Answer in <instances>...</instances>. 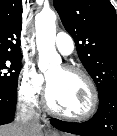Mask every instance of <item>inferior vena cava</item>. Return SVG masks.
<instances>
[{"label":"inferior vena cava","mask_w":117,"mask_h":136,"mask_svg":"<svg viewBox=\"0 0 117 136\" xmlns=\"http://www.w3.org/2000/svg\"><path fill=\"white\" fill-rule=\"evenodd\" d=\"M17 122L23 126L25 136H32L34 131L40 129L39 113L26 103L18 104Z\"/></svg>","instance_id":"602c4592"}]
</instances>
